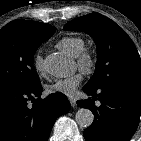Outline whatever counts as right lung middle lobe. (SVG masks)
Instances as JSON below:
<instances>
[{
  "instance_id": "dd1d6c3e",
  "label": "right lung middle lobe",
  "mask_w": 141,
  "mask_h": 141,
  "mask_svg": "<svg viewBox=\"0 0 141 141\" xmlns=\"http://www.w3.org/2000/svg\"><path fill=\"white\" fill-rule=\"evenodd\" d=\"M55 32L24 20H14L0 30V87L29 88L40 85L33 66L37 48Z\"/></svg>"
}]
</instances>
